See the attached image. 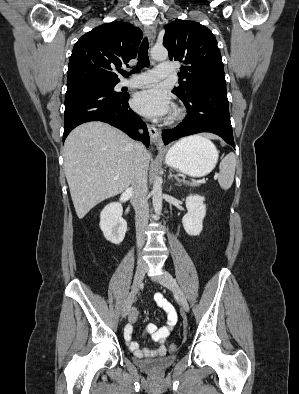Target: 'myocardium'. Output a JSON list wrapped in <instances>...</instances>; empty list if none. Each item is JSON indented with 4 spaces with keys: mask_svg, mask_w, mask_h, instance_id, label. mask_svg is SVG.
<instances>
[{
    "mask_svg": "<svg viewBox=\"0 0 299 394\" xmlns=\"http://www.w3.org/2000/svg\"><path fill=\"white\" fill-rule=\"evenodd\" d=\"M183 116V113L180 109H176L171 117L172 121H177L179 119H181Z\"/></svg>",
    "mask_w": 299,
    "mask_h": 394,
    "instance_id": "obj_1",
    "label": "myocardium"
}]
</instances>
